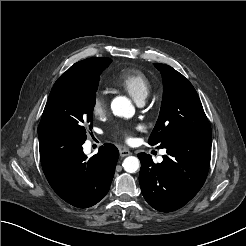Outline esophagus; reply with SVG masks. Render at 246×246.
<instances>
[{"instance_id":"esophagus-1","label":"esophagus","mask_w":246,"mask_h":246,"mask_svg":"<svg viewBox=\"0 0 246 246\" xmlns=\"http://www.w3.org/2000/svg\"><path fill=\"white\" fill-rule=\"evenodd\" d=\"M119 152H120V156H121V157H126V156L132 154L128 149H120Z\"/></svg>"}]
</instances>
